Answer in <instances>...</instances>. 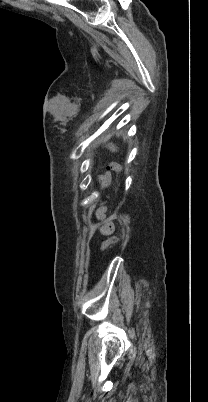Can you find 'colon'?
<instances>
[{
  "instance_id": "5ec220e1",
  "label": "colon",
  "mask_w": 208,
  "mask_h": 402,
  "mask_svg": "<svg viewBox=\"0 0 208 402\" xmlns=\"http://www.w3.org/2000/svg\"><path fill=\"white\" fill-rule=\"evenodd\" d=\"M109 167L111 170L115 171V172H121L122 171V166L115 162L112 161L109 163ZM122 239V235H116V236H109L107 239H105L102 244H101V249L102 250H106L108 247L113 246L117 243H119Z\"/></svg>"
}]
</instances>
